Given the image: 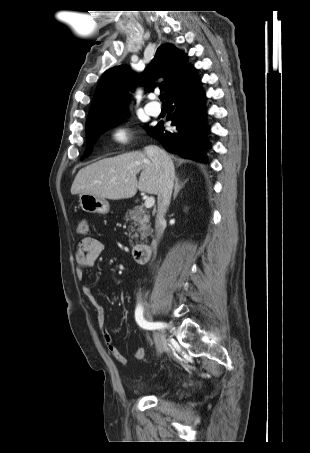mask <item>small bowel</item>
Returning <instances> with one entry per match:
<instances>
[{"label":"small bowel","instance_id":"small-bowel-1","mask_svg":"<svg viewBox=\"0 0 310 453\" xmlns=\"http://www.w3.org/2000/svg\"><path fill=\"white\" fill-rule=\"evenodd\" d=\"M103 243L94 237L87 236L82 238L74 251L76 261V275L78 279H82L84 272L91 268L103 252ZM83 292L89 302L93 305L96 312V319L100 328L103 340L109 353L121 364L127 363V358L122 355L114 344L111 333L106 325V316L103 306L97 300L93 289L87 285L83 286ZM135 359L143 360L145 358V349L137 348L134 354Z\"/></svg>","mask_w":310,"mask_h":453}]
</instances>
